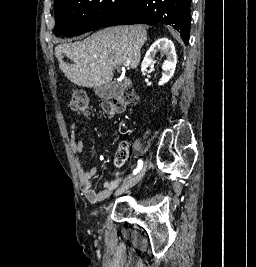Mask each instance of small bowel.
<instances>
[{"instance_id": "small-bowel-1", "label": "small bowel", "mask_w": 256, "mask_h": 267, "mask_svg": "<svg viewBox=\"0 0 256 267\" xmlns=\"http://www.w3.org/2000/svg\"><path fill=\"white\" fill-rule=\"evenodd\" d=\"M77 132L78 126L73 124L70 131V147L75 156L74 165L77 171L80 189L90 203L97 204L110 196L111 192L118 186L120 179L115 178L107 180L104 182V190L99 192L94 190L92 179L96 175L97 170L94 167L89 170L83 168L80 156L83 153L84 144L81 139L77 138Z\"/></svg>"}]
</instances>
